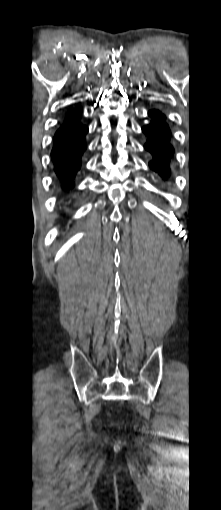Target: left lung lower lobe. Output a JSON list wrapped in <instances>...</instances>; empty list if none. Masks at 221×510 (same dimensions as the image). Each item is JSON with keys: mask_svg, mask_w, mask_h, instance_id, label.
<instances>
[{"mask_svg": "<svg viewBox=\"0 0 221 510\" xmlns=\"http://www.w3.org/2000/svg\"><path fill=\"white\" fill-rule=\"evenodd\" d=\"M149 116L153 118V121L142 128L148 137L144 147L153 156L149 167L165 180L170 175L169 163L174 154V149L170 144L171 132L165 123L151 114Z\"/></svg>", "mask_w": 221, "mask_h": 510, "instance_id": "obj_1", "label": "left lung lower lobe"}]
</instances>
